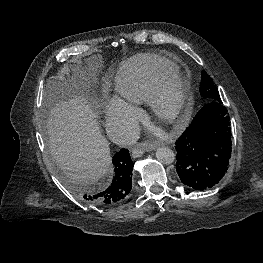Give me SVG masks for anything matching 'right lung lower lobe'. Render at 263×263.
Here are the masks:
<instances>
[{"label": "right lung lower lobe", "mask_w": 263, "mask_h": 263, "mask_svg": "<svg viewBox=\"0 0 263 263\" xmlns=\"http://www.w3.org/2000/svg\"><path fill=\"white\" fill-rule=\"evenodd\" d=\"M114 164V177L110 186L100 193H82L85 201L112 206L121 202L132 188L133 162L127 149H121L112 159Z\"/></svg>", "instance_id": "1"}]
</instances>
